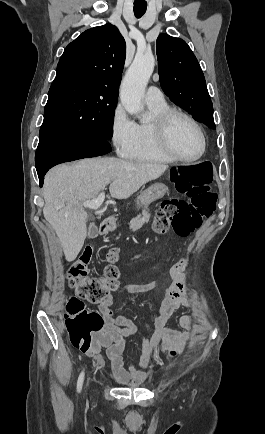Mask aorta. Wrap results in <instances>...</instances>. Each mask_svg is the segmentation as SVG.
<instances>
[{
  "instance_id": "762f6f07",
  "label": "aorta",
  "mask_w": 265,
  "mask_h": 434,
  "mask_svg": "<svg viewBox=\"0 0 265 434\" xmlns=\"http://www.w3.org/2000/svg\"><path fill=\"white\" fill-rule=\"evenodd\" d=\"M154 66V56L145 54L135 56L127 70L120 88V100L129 114H139L143 110L141 100L144 98L145 88L153 74ZM146 120L147 118H141V122Z\"/></svg>"
}]
</instances>
